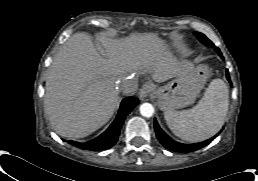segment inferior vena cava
Segmentation results:
<instances>
[{"label":"inferior vena cava","instance_id":"602c4592","mask_svg":"<svg viewBox=\"0 0 258 181\" xmlns=\"http://www.w3.org/2000/svg\"><path fill=\"white\" fill-rule=\"evenodd\" d=\"M137 89H138V83H137V79L135 78H132V79L124 78L119 83V90L125 95H128V96L134 95Z\"/></svg>","mask_w":258,"mask_h":181}]
</instances>
